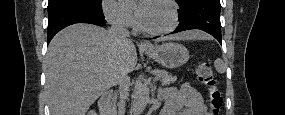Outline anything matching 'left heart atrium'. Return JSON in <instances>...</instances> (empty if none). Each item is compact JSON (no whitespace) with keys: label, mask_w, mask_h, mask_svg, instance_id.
I'll list each match as a JSON object with an SVG mask.
<instances>
[{"label":"left heart atrium","mask_w":285,"mask_h":115,"mask_svg":"<svg viewBox=\"0 0 285 115\" xmlns=\"http://www.w3.org/2000/svg\"><path fill=\"white\" fill-rule=\"evenodd\" d=\"M146 3H141L138 10H137V15H138V18L140 21H143V19L145 17V4Z\"/></svg>","instance_id":"1"}]
</instances>
